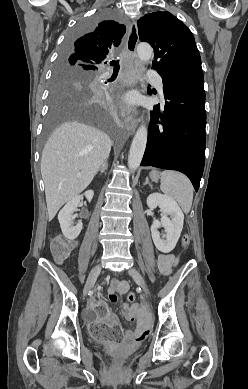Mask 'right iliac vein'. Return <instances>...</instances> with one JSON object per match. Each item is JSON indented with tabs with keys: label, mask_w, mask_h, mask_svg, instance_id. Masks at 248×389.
I'll return each mask as SVG.
<instances>
[{
	"label": "right iliac vein",
	"mask_w": 248,
	"mask_h": 389,
	"mask_svg": "<svg viewBox=\"0 0 248 389\" xmlns=\"http://www.w3.org/2000/svg\"><path fill=\"white\" fill-rule=\"evenodd\" d=\"M102 270V266L101 265H96L90 272L89 276H88V279H87V282H86V285H85V288H84V291H83V294L84 296L87 295L88 291L90 290V288L94 285V283L96 282L97 280V277L99 276L100 272Z\"/></svg>",
	"instance_id": "1"
}]
</instances>
